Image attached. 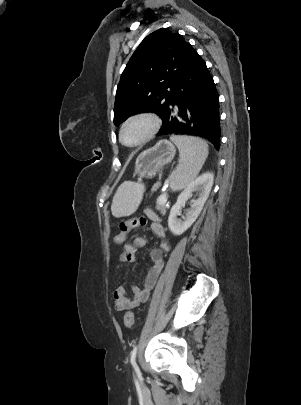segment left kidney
I'll return each instance as SVG.
<instances>
[{"label": "left kidney", "mask_w": 301, "mask_h": 405, "mask_svg": "<svg viewBox=\"0 0 301 405\" xmlns=\"http://www.w3.org/2000/svg\"><path fill=\"white\" fill-rule=\"evenodd\" d=\"M213 180V174L209 172L204 173L190 182L178 196L177 202L171 208L168 218L169 229L174 235L179 236L183 234L198 218L211 191ZM194 191L198 193V199L192 202L184 221L178 220L177 215L180 214L182 206L192 197Z\"/></svg>", "instance_id": "left-kidney-1"}]
</instances>
